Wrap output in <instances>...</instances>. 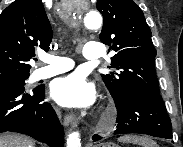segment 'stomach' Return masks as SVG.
<instances>
[{
    "label": "stomach",
    "mask_w": 183,
    "mask_h": 147,
    "mask_svg": "<svg viewBox=\"0 0 183 147\" xmlns=\"http://www.w3.org/2000/svg\"><path fill=\"white\" fill-rule=\"evenodd\" d=\"M99 147H118V146L116 144H114V143L107 142V143L100 144Z\"/></svg>",
    "instance_id": "1"
}]
</instances>
